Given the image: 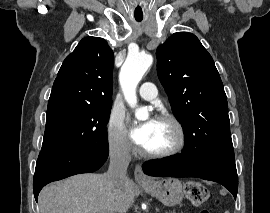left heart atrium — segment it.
<instances>
[{
    "label": "left heart atrium",
    "mask_w": 270,
    "mask_h": 213,
    "mask_svg": "<svg viewBox=\"0 0 270 213\" xmlns=\"http://www.w3.org/2000/svg\"><path fill=\"white\" fill-rule=\"evenodd\" d=\"M155 121L156 120L154 118H150L143 124L132 128L130 136L132 141L136 145L143 147L146 144L152 131V128L155 124Z\"/></svg>",
    "instance_id": "1"
}]
</instances>
